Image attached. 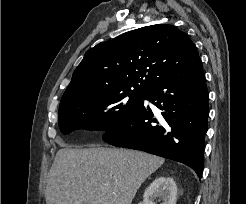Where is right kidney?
Wrapping results in <instances>:
<instances>
[{"mask_svg": "<svg viewBox=\"0 0 246 204\" xmlns=\"http://www.w3.org/2000/svg\"><path fill=\"white\" fill-rule=\"evenodd\" d=\"M161 204H176L177 186L175 181L169 177L156 178L145 190L143 201L139 204H155V200Z\"/></svg>", "mask_w": 246, "mask_h": 204, "instance_id": "1", "label": "right kidney"}]
</instances>
